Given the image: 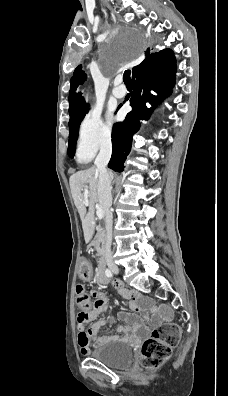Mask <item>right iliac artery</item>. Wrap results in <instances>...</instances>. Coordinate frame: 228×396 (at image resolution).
Listing matches in <instances>:
<instances>
[{
	"instance_id": "right-iliac-artery-1",
	"label": "right iliac artery",
	"mask_w": 228,
	"mask_h": 396,
	"mask_svg": "<svg viewBox=\"0 0 228 396\" xmlns=\"http://www.w3.org/2000/svg\"><path fill=\"white\" fill-rule=\"evenodd\" d=\"M105 274L107 277H112V272L109 269L105 270Z\"/></svg>"
}]
</instances>
